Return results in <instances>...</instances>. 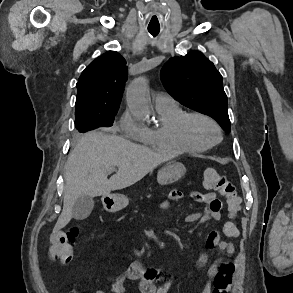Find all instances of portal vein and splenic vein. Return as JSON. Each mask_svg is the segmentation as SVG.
<instances>
[{
  "label": "portal vein and splenic vein",
  "instance_id": "1",
  "mask_svg": "<svg viewBox=\"0 0 293 293\" xmlns=\"http://www.w3.org/2000/svg\"><path fill=\"white\" fill-rule=\"evenodd\" d=\"M114 171V168L110 170V172Z\"/></svg>",
  "mask_w": 293,
  "mask_h": 293
}]
</instances>
